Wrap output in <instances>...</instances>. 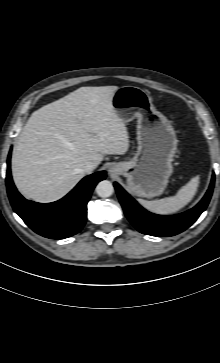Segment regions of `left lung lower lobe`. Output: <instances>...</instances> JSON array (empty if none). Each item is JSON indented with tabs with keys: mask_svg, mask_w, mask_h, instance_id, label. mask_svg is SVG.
<instances>
[{
	"mask_svg": "<svg viewBox=\"0 0 220 363\" xmlns=\"http://www.w3.org/2000/svg\"><path fill=\"white\" fill-rule=\"evenodd\" d=\"M215 174L203 199L191 210L173 216H162L143 209L118 183H114L124 213L141 233L152 236H173L191 226L206 209L214 188Z\"/></svg>",
	"mask_w": 220,
	"mask_h": 363,
	"instance_id": "1",
	"label": "left lung lower lobe"
}]
</instances>
